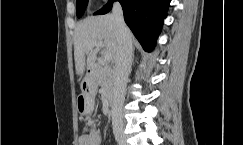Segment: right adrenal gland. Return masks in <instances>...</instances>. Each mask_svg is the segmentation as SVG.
<instances>
[{
	"mask_svg": "<svg viewBox=\"0 0 243 145\" xmlns=\"http://www.w3.org/2000/svg\"><path fill=\"white\" fill-rule=\"evenodd\" d=\"M134 58V49H133V51H132V59Z\"/></svg>",
	"mask_w": 243,
	"mask_h": 145,
	"instance_id": "1",
	"label": "right adrenal gland"
}]
</instances>
